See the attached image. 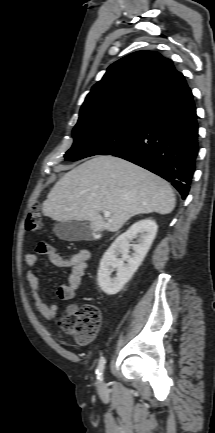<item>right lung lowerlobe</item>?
I'll return each instance as SVG.
<instances>
[{"instance_id":"right-lung-lower-lobe-1","label":"right lung lower lobe","mask_w":215,"mask_h":433,"mask_svg":"<svg viewBox=\"0 0 215 433\" xmlns=\"http://www.w3.org/2000/svg\"><path fill=\"white\" fill-rule=\"evenodd\" d=\"M198 150L196 108L187 86L149 110L137 136L108 155L123 158L163 177L185 199Z\"/></svg>"}]
</instances>
